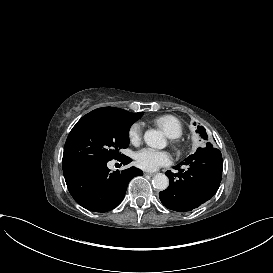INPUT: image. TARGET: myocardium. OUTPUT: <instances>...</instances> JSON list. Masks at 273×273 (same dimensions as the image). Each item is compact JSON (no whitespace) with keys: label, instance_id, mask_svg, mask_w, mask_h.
I'll return each instance as SVG.
<instances>
[{"label":"myocardium","instance_id":"obj_1","mask_svg":"<svg viewBox=\"0 0 273 273\" xmlns=\"http://www.w3.org/2000/svg\"><path fill=\"white\" fill-rule=\"evenodd\" d=\"M172 143H173L174 145H178V144H179V142H178L177 140H172Z\"/></svg>","mask_w":273,"mask_h":273}]
</instances>
